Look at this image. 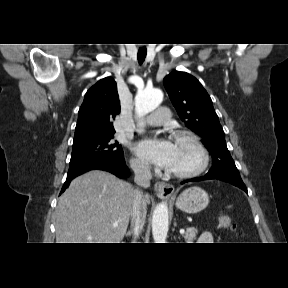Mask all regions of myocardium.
I'll return each instance as SVG.
<instances>
[{
  "label": "myocardium",
  "instance_id": "obj_1",
  "mask_svg": "<svg viewBox=\"0 0 288 288\" xmlns=\"http://www.w3.org/2000/svg\"><path fill=\"white\" fill-rule=\"evenodd\" d=\"M173 136L176 140L188 142L197 151L199 162L191 169L182 171L167 170V173L178 178H191L201 174L208 166L209 154L200 138L193 132L186 130L175 131Z\"/></svg>",
  "mask_w": 288,
  "mask_h": 288
}]
</instances>
